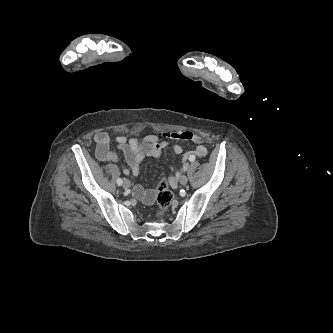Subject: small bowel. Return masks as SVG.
<instances>
[{
    "mask_svg": "<svg viewBox=\"0 0 333 333\" xmlns=\"http://www.w3.org/2000/svg\"><path fill=\"white\" fill-rule=\"evenodd\" d=\"M148 140L152 143L151 155L158 157L165 149H172L175 153H182L183 149L179 145H171L167 139H176L182 141H192L195 148L192 151L186 152L183 156V162L179 169H173L174 173L169 179V184L172 188H176L180 173L188 167V162L194 161L197 157L206 155L207 150L202 144V140L198 135L189 131H179L174 133H157L151 134ZM94 142L96 146V157L102 162H115L118 160L117 154L110 149L109 135L104 132H97L94 135ZM118 148L123 152L126 161L130 168L123 167V172L126 175H138L141 162L145 156L140 143L135 138H128L126 136H118L116 138ZM133 195L145 202L151 204L154 199V192L152 190H145L141 186H136L133 190Z\"/></svg>",
    "mask_w": 333,
    "mask_h": 333,
    "instance_id": "small-bowel-1",
    "label": "small bowel"
}]
</instances>
